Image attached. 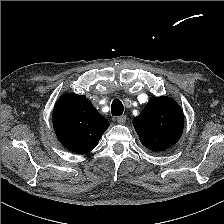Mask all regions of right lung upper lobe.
<instances>
[{
	"label": "right lung upper lobe",
	"mask_w": 224,
	"mask_h": 224,
	"mask_svg": "<svg viewBox=\"0 0 224 224\" xmlns=\"http://www.w3.org/2000/svg\"><path fill=\"white\" fill-rule=\"evenodd\" d=\"M53 127L65 148L84 154L96 147L109 121L86 96L70 93L61 96L55 104Z\"/></svg>",
	"instance_id": "1"
}]
</instances>
